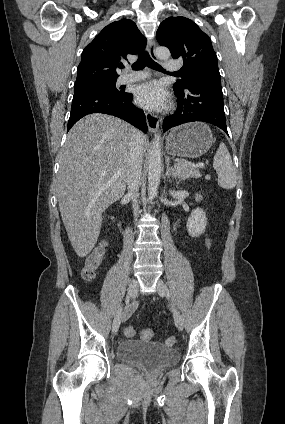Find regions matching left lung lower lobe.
<instances>
[{
	"label": "left lung lower lobe",
	"instance_id": "1",
	"mask_svg": "<svg viewBox=\"0 0 285 424\" xmlns=\"http://www.w3.org/2000/svg\"><path fill=\"white\" fill-rule=\"evenodd\" d=\"M178 98L177 111L163 121V132L187 122H208L221 128L226 134L221 80L202 79L184 90L174 88Z\"/></svg>",
	"mask_w": 285,
	"mask_h": 424
}]
</instances>
